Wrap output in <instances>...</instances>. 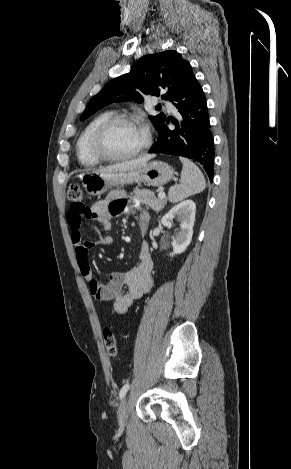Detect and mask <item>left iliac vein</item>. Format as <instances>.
I'll use <instances>...</instances> for the list:
<instances>
[{"mask_svg": "<svg viewBox=\"0 0 291 469\" xmlns=\"http://www.w3.org/2000/svg\"><path fill=\"white\" fill-rule=\"evenodd\" d=\"M128 419V400L125 397L118 409V421L121 427H124Z\"/></svg>", "mask_w": 291, "mask_h": 469, "instance_id": "obj_1", "label": "left iliac vein"}]
</instances>
